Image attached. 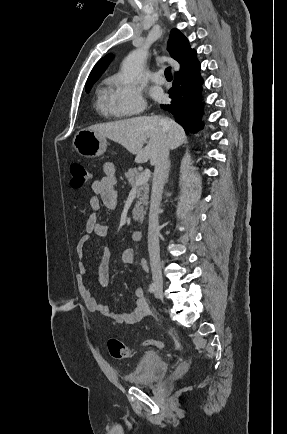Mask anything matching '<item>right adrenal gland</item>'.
<instances>
[{"mask_svg": "<svg viewBox=\"0 0 287 434\" xmlns=\"http://www.w3.org/2000/svg\"><path fill=\"white\" fill-rule=\"evenodd\" d=\"M170 171V160L168 162V167H167V173H166V179L168 178V173Z\"/></svg>", "mask_w": 287, "mask_h": 434, "instance_id": "obj_1", "label": "right adrenal gland"}]
</instances>
